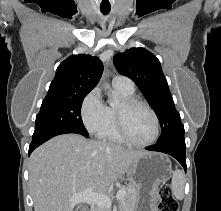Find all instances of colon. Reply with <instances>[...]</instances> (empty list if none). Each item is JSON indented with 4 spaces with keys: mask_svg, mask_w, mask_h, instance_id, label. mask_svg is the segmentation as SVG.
<instances>
[{
    "mask_svg": "<svg viewBox=\"0 0 221 211\" xmlns=\"http://www.w3.org/2000/svg\"><path fill=\"white\" fill-rule=\"evenodd\" d=\"M158 211H179V205L176 201L172 188L164 184L159 189Z\"/></svg>",
    "mask_w": 221,
    "mask_h": 211,
    "instance_id": "obj_1",
    "label": "colon"
}]
</instances>
